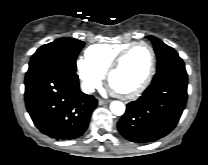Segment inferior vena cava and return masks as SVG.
Segmentation results:
<instances>
[{"label": "inferior vena cava", "mask_w": 208, "mask_h": 165, "mask_svg": "<svg viewBox=\"0 0 208 165\" xmlns=\"http://www.w3.org/2000/svg\"><path fill=\"white\" fill-rule=\"evenodd\" d=\"M81 89L84 93H93L95 91L94 84L90 82H83L81 84Z\"/></svg>", "instance_id": "obj_1"}]
</instances>
